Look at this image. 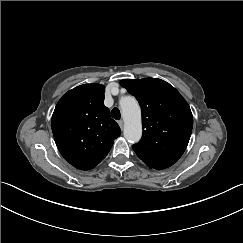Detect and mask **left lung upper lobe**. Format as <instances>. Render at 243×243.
Instances as JSON below:
<instances>
[{
	"label": "left lung upper lobe",
	"mask_w": 243,
	"mask_h": 243,
	"mask_svg": "<svg viewBox=\"0 0 243 243\" xmlns=\"http://www.w3.org/2000/svg\"><path fill=\"white\" fill-rule=\"evenodd\" d=\"M120 85L141 106L143 134L133 150L151 168L170 167L182 156L191 136L193 116L188 103L161 79H124Z\"/></svg>",
	"instance_id": "obj_1"
}]
</instances>
